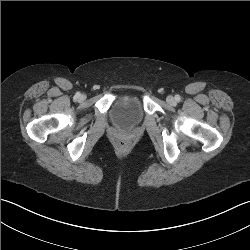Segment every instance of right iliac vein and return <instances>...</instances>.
<instances>
[{"label": "right iliac vein", "instance_id": "63e3f726", "mask_svg": "<svg viewBox=\"0 0 250 250\" xmlns=\"http://www.w3.org/2000/svg\"><path fill=\"white\" fill-rule=\"evenodd\" d=\"M84 98H85L84 95L80 96V100H83Z\"/></svg>", "mask_w": 250, "mask_h": 250}]
</instances>
